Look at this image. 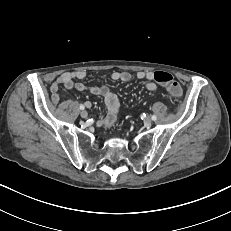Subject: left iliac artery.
<instances>
[{
	"label": "left iliac artery",
	"mask_w": 231,
	"mask_h": 231,
	"mask_svg": "<svg viewBox=\"0 0 231 231\" xmlns=\"http://www.w3.org/2000/svg\"><path fill=\"white\" fill-rule=\"evenodd\" d=\"M151 119L155 121L157 119L156 115H152Z\"/></svg>",
	"instance_id": "44dca946"
}]
</instances>
